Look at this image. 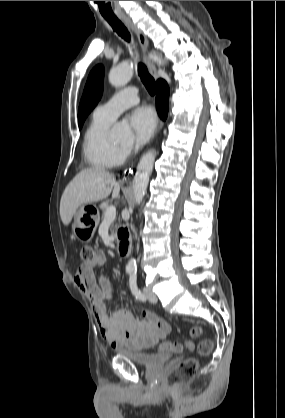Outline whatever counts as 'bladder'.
Segmentation results:
<instances>
[{"instance_id":"31cf9c89","label":"bladder","mask_w":285,"mask_h":418,"mask_svg":"<svg viewBox=\"0 0 285 418\" xmlns=\"http://www.w3.org/2000/svg\"><path fill=\"white\" fill-rule=\"evenodd\" d=\"M116 354L118 356L128 357L135 364L146 368L162 365L170 358V354L168 353L136 352L124 347L118 348Z\"/></svg>"}]
</instances>
